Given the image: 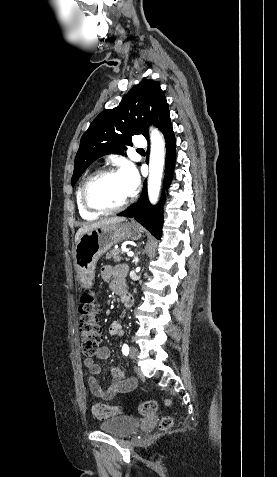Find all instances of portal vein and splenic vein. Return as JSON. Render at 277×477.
Instances as JSON below:
<instances>
[{"instance_id": "portal-vein-and-splenic-vein-1", "label": "portal vein and splenic vein", "mask_w": 277, "mask_h": 477, "mask_svg": "<svg viewBox=\"0 0 277 477\" xmlns=\"http://www.w3.org/2000/svg\"><path fill=\"white\" fill-rule=\"evenodd\" d=\"M128 257H132L134 253L132 251L127 250L126 251Z\"/></svg>"}]
</instances>
